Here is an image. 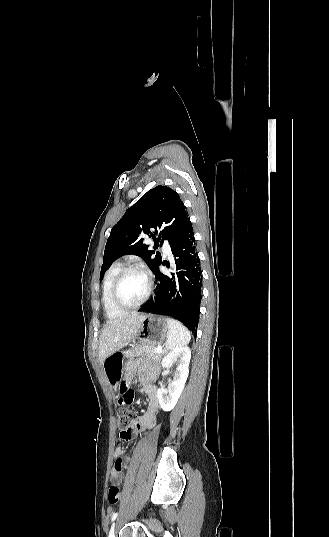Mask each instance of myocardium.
Segmentation results:
<instances>
[{"label": "myocardium", "mask_w": 329, "mask_h": 537, "mask_svg": "<svg viewBox=\"0 0 329 537\" xmlns=\"http://www.w3.org/2000/svg\"><path fill=\"white\" fill-rule=\"evenodd\" d=\"M132 271H139L145 275L147 279V289L143 297L137 303L128 305L121 301L119 297V288H120V284L122 282L123 277L127 273L132 272ZM152 290H153V279L149 271L145 267L139 264H130V265L122 267L120 271L118 272L116 278L114 279L113 287L111 291L112 302L117 308L123 311L133 310V309L140 307L142 304H144L148 300L149 296L151 295Z\"/></svg>", "instance_id": "obj_1"}]
</instances>
